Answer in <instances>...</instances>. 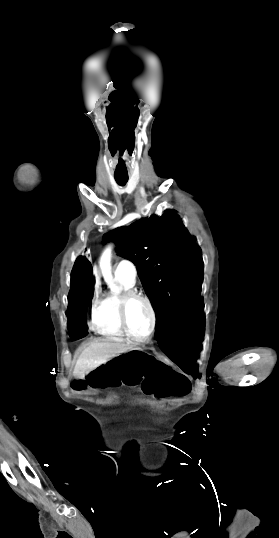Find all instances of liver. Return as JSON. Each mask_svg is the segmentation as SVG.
Returning <instances> with one entry per match:
<instances>
[{
	"label": "liver",
	"mask_w": 279,
	"mask_h": 538,
	"mask_svg": "<svg viewBox=\"0 0 279 538\" xmlns=\"http://www.w3.org/2000/svg\"><path fill=\"white\" fill-rule=\"evenodd\" d=\"M128 350H131V346H127L123 342H115V340L93 342L80 354L74 366L73 376L79 380H84L85 374H89L101 364L108 362L110 358H114L117 354H124Z\"/></svg>",
	"instance_id": "1"
}]
</instances>
